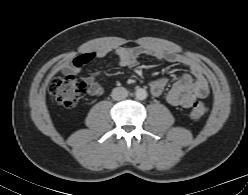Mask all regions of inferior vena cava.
Here are the masks:
<instances>
[{
  "label": "inferior vena cava",
  "mask_w": 248,
  "mask_h": 195,
  "mask_svg": "<svg viewBox=\"0 0 248 195\" xmlns=\"http://www.w3.org/2000/svg\"><path fill=\"white\" fill-rule=\"evenodd\" d=\"M128 96V91L124 87H116L112 90V98L116 101L123 100Z\"/></svg>",
  "instance_id": "obj_1"
}]
</instances>
